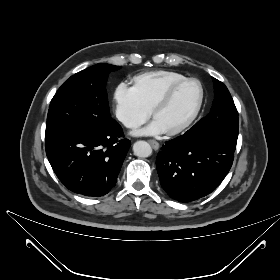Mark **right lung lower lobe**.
Masks as SVG:
<instances>
[{
  "label": "right lung lower lobe",
  "instance_id": "right-lung-lower-lobe-1",
  "mask_svg": "<svg viewBox=\"0 0 280 280\" xmlns=\"http://www.w3.org/2000/svg\"><path fill=\"white\" fill-rule=\"evenodd\" d=\"M115 121L105 128H71L46 138L47 158L64 186L78 194L109 193L131 142Z\"/></svg>",
  "mask_w": 280,
  "mask_h": 280
}]
</instances>
